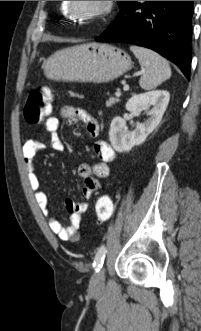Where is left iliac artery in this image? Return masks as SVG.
<instances>
[{
	"instance_id": "obj_1",
	"label": "left iliac artery",
	"mask_w": 201,
	"mask_h": 331,
	"mask_svg": "<svg viewBox=\"0 0 201 331\" xmlns=\"http://www.w3.org/2000/svg\"><path fill=\"white\" fill-rule=\"evenodd\" d=\"M106 252H107L106 247L104 245H102L98 249V252L96 253L95 260L93 263V267L96 270V272H98L100 270V268L102 267Z\"/></svg>"
}]
</instances>
